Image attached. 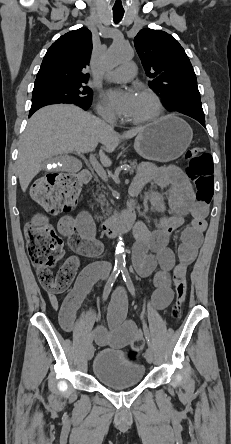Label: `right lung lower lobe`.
Returning a JSON list of instances; mask_svg holds the SVG:
<instances>
[{"label":"right lung lower lobe","instance_id":"98d812e1","mask_svg":"<svg viewBox=\"0 0 231 444\" xmlns=\"http://www.w3.org/2000/svg\"><path fill=\"white\" fill-rule=\"evenodd\" d=\"M41 107H43V106H39V107H33V108H31L30 109V113H29V117L36 111V110H38L39 108H41ZM83 108V107H82ZM83 109H85V110H87L88 108H83Z\"/></svg>","mask_w":231,"mask_h":444}]
</instances>
